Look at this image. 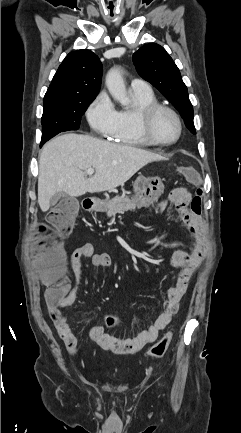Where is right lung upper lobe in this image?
Returning a JSON list of instances; mask_svg holds the SVG:
<instances>
[{
    "label": "right lung upper lobe",
    "mask_w": 241,
    "mask_h": 433,
    "mask_svg": "<svg viewBox=\"0 0 241 433\" xmlns=\"http://www.w3.org/2000/svg\"><path fill=\"white\" fill-rule=\"evenodd\" d=\"M102 78V64L90 50L70 52L59 66L45 94L49 100H83L97 96Z\"/></svg>",
    "instance_id": "cb5924a9"
}]
</instances>
